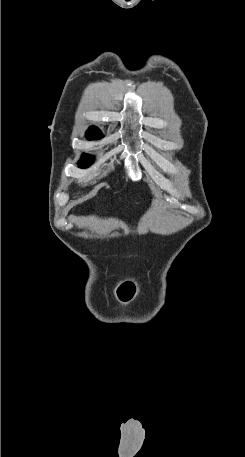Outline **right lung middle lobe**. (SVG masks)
Here are the masks:
<instances>
[{"label":"right lung middle lobe","instance_id":"1","mask_svg":"<svg viewBox=\"0 0 245 457\" xmlns=\"http://www.w3.org/2000/svg\"><path fill=\"white\" fill-rule=\"evenodd\" d=\"M86 136L89 140L99 139V138L103 137V135L101 134L99 129H93V128H91L87 131ZM92 161H93V157H91L89 155H83L82 160L79 162V166L81 168H85L86 166L90 165Z\"/></svg>","mask_w":245,"mask_h":457}]
</instances>
